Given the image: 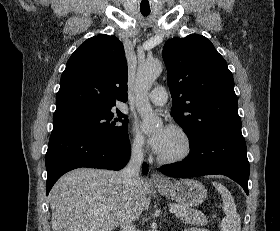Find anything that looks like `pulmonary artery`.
Wrapping results in <instances>:
<instances>
[{
    "label": "pulmonary artery",
    "mask_w": 280,
    "mask_h": 231,
    "mask_svg": "<svg viewBox=\"0 0 280 231\" xmlns=\"http://www.w3.org/2000/svg\"><path fill=\"white\" fill-rule=\"evenodd\" d=\"M148 98L153 104L164 106L168 101V93L163 86H158L150 92Z\"/></svg>",
    "instance_id": "1"
}]
</instances>
